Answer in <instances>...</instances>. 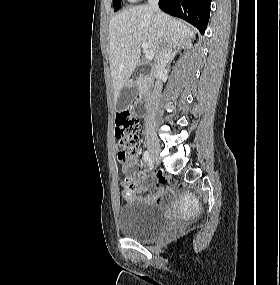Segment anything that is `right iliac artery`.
Here are the masks:
<instances>
[{"mask_svg":"<svg viewBox=\"0 0 280 285\" xmlns=\"http://www.w3.org/2000/svg\"><path fill=\"white\" fill-rule=\"evenodd\" d=\"M143 159H144L145 163H147L150 160V155H149L148 151L144 152Z\"/></svg>","mask_w":280,"mask_h":285,"instance_id":"obj_1","label":"right iliac artery"}]
</instances>
